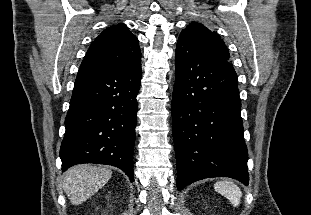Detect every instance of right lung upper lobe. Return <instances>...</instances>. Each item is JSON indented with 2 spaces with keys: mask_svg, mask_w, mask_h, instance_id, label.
Wrapping results in <instances>:
<instances>
[{
  "mask_svg": "<svg viewBox=\"0 0 311 215\" xmlns=\"http://www.w3.org/2000/svg\"><path fill=\"white\" fill-rule=\"evenodd\" d=\"M138 39L124 24L105 29L90 45L80 68L132 69L140 64Z\"/></svg>",
  "mask_w": 311,
  "mask_h": 215,
  "instance_id": "right-lung-upper-lobe-1",
  "label": "right lung upper lobe"
}]
</instances>
